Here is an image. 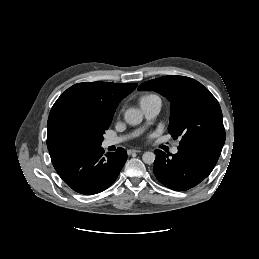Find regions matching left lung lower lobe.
<instances>
[{
  "label": "left lung lower lobe",
  "mask_w": 259,
  "mask_h": 259,
  "mask_svg": "<svg viewBox=\"0 0 259 259\" xmlns=\"http://www.w3.org/2000/svg\"><path fill=\"white\" fill-rule=\"evenodd\" d=\"M222 147L210 143H197L178 147V152L174 155L155 150L153 172L166 187L176 191L188 190L211 173Z\"/></svg>",
  "instance_id": "left-lung-lower-lobe-1"
}]
</instances>
